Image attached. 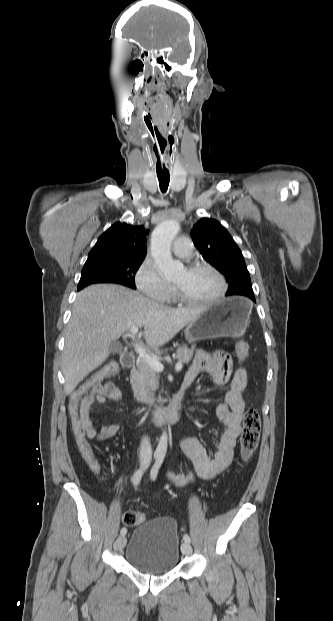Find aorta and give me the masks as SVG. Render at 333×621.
Listing matches in <instances>:
<instances>
[{
  "label": "aorta",
  "mask_w": 333,
  "mask_h": 621,
  "mask_svg": "<svg viewBox=\"0 0 333 621\" xmlns=\"http://www.w3.org/2000/svg\"><path fill=\"white\" fill-rule=\"evenodd\" d=\"M180 225L176 220L170 219L163 221L153 230L151 236V253L157 265L158 273L166 279L174 278L181 274L184 266L179 261H174L170 247L176 237ZM168 435L163 430L155 454L164 457L167 452Z\"/></svg>",
  "instance_id": "762f6f07"
}]
</instances>
